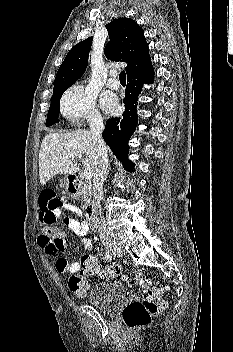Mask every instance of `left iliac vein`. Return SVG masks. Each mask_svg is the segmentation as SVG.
<instances>
[{
    "mask_svg": "<svg viewBox=\"0 0 233 352\" xmlns=\"http://www.w3.org/2000/svg\"><path fill=\"white\" fill-rule=\"evenodd\" d=\"M113 255L117 257L123 256V251L119 247H115L113 251Z\"/></svg>",
    "mask_w": 233,
    "mask_h": 352,
    "instance_id": "left-iliac-vein-1",
    "label": "left iliac vein"
}]
</instances>
